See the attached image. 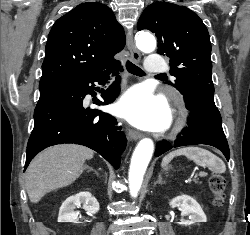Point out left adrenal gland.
I'll return each instance as SVG.
<instances>
[{"mask_svg": "<svg viewBox=\"0 0 250 235\" xmlns=\"http://www.w3.org/2000/svg\"><path fill=\"white\" fill-rule=\"evenodd\" d=\"M156 184H165V181L162 180L161 174L158 175V180L154 183V186Z\"/></svg>", "mask_w": 250, "mask_h": 235, "instance_id": "obj_1", "label": "left adrenal gland"}]
</instances>
